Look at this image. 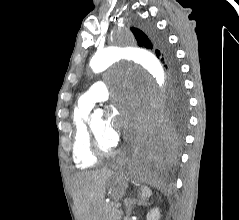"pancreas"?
Masks as SVG:
<instances>
[{"label": "pancreas", "instance_id": "1", "mask_svg": "<svg viewBox=\"0 0 239 220\" xmlns=\"http://www.w3.org/2000/svg\"><path fill=\"white\" fill-rule=\"evenodd\" d=\"M123 211L116 207L114 202L106 204L103 208V220H121Z\"/></svg>", "mask_w": 239, "mask_h": 220}]
</instances>
